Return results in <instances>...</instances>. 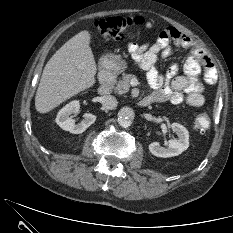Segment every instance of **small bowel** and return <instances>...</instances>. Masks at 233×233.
Instances as JSON below:
<instances>
[{"label": "small bowel", "mask_w": 233, "mask_h": 233, "mask_svg": "<svg viewBox=\"0 0 233 233\" xmlns=\"http://www.w3.org/2000/svg\"><path fill=\"white\" fill-rule=\"evenodd\" d=\"M147 27L151 28V23H147ZM171 42L190 50L182 75H177L176 64H172L165 74H160L155 67L160 55H170ZM127 47L136 64L147 73L148 82L153 89L148 96L151 103H186L193 107H201L205 103L204 87L198 77L203 73L206 83L213 84L217 79V72L206 52L191 38L174 27H167L159 33L155 42H129Z\"/></svg>", "instance_id": "1"}]
</instances>
